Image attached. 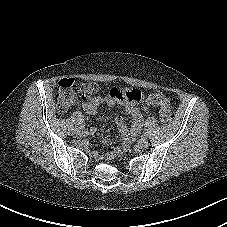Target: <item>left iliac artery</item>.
Masks as SVG:
<instances>
[{"instance_id": "left-iliac-artery-1", "label": "left iliac artery", "mask_w": 227, "mask_h": 227, "mask_svg": "<svg viewBox=\"0 0 227 227\" xmlns=\"http://www.w3.org/2000/svg\"><path fill=\"white\" fill-rule=\"evenodd\" d=\"M149 134L147 132L144 133V137H148Z\"/></svg>"}]
</instances>
